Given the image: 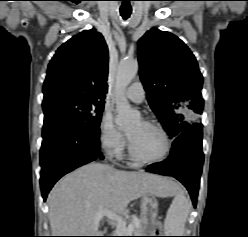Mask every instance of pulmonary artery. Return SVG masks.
<instances>
[{
	"label": "pulmonary artery",
	"mask_w": 248,
	"mask_h": 237,
	"mask_svg": "<svg viewBox=\"0 0 248 237\" xmlns=\"http://www.w3.org/2000/svg\"><path fill=\"white\" fill-rule=\"evenodd\" d=\"M125 95L131 101L141 103L145 98L143 84L140 81L133 82L125 91Z\"/></svg>",
	"instance_id": "pulmonary-artery-1"
}]
</instances>
